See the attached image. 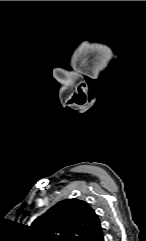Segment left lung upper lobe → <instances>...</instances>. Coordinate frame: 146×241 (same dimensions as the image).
I'll list each match as a JSON object with an SVG mask.
<instances>
[{"label": "left lung upper lobe", "mask_w": 146, "mask_h": 241, "mask_svg": "<svg viewBox=\"0 0 146 241\" xmlns=\"http://www.w3.org/2000/svg\"><path fill=\"white\" fill-rule=\"evenodd\" d=\"M100 227L94 210L78 199L60 201L31 225L38 241H83Z\"/></svg>", "instance_id": "5c2ea615"}]
</instances>
